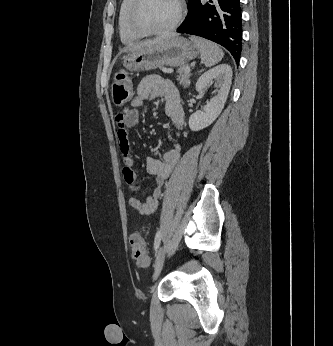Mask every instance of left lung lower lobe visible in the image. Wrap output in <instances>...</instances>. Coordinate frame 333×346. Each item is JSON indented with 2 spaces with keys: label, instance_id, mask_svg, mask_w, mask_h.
Returning <instances> with one entry per match:
<instances>
[{
  "label": "left lung lower lobe",
  "instance_id": "0a47b994",
  "mask_svg": "<svg viewBox=\"0 0 333 346\" xmlns=\"http://www.w3.org/2000/svg\"><path fill=\"white\" fill-rule=\"evenodd\" d=\"M188 14L178 33L200 36L225 47L239 62L242 50V15L239 0L188 1Z\"/></svg>",
  "mask_w": 333,
  "mask_h": 346
}]
</instances>
